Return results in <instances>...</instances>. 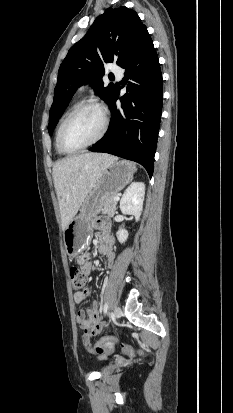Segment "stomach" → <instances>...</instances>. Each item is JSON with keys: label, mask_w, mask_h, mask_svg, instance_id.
Masks as SVG:
<instances>
[{"label": "stomach", "mask_w": 233, "mask_h": 413, "mask_svg": "<svg viewBox=\"0 0 233 413\" xmlns=\"http://www.w3.org/2000/svg\"><path fill=\"white\" fill-rule=\"evenodd\" d=\"M135 166L128 161H115L107 166L75 216L63 230L66 253L76 257L86 246L92 234L91 219L100 212L99 203L104 197L116 195L133 179Z\"/></svg>", "instance_id": "0dacf381"}]
</instances>
